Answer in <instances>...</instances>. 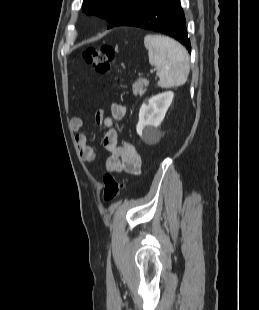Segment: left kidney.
Instances as JSON below:
<instances>
[{
  "instance_id": "obj_1",
  "label": "left kidney",
  "mask_w": 259,
  "mask_h": 310,
  "mask_svg": "<svg viewBox=\"0 0 259 310\" xmlns=\"http://www.w3.org/2000/svg\"><path fill=\"white\" fill-rule=\"evenodd\" d=\"M173 97L172 91H166L142 104L136 131L145 141L148 142L151 136H156V129L161 125Z\"/></svg>"
}]
</instances>
